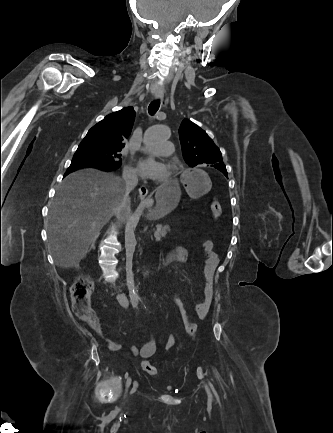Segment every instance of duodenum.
I'll use <instances>...</instances> for the list:
<instances>
[{
	"label": "duodenum",
	"mask_w": 333,
	"mask_h": 433,
	"mask_svg": "<svg viewBox=\"0 0 333 433\" xmlns=\"http://www.w3.org/2000/svg\"><path fill=\"white\" fill-rule=\"evenodd\" d=\"M162 261H164V260H160V262L159 263H157V264H155L154 266H151V267H147V268H145L144 269V271H143V274H144V277H149L154 271H156L158 268H159V266H160V264H161V262Z\"/></svg>",
	"instance_id": "obj_1"
}]
</instances>
